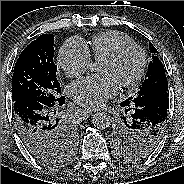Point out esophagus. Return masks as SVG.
<instances>
[{"instance_id": "obj_1", "label": "esophagus", "mask_w": 184, "mask_h": 184, "mask_svg": "<svg viewBox=\"0 0 184 184\" xmlns=\"http://www.w3.org/2000/svg\"><path fill=\"white\" fill-rule=\"evenodd\" d=\"M100 110H84L85 113L90 114L92 112H99Z\"/></svg>"}]
</instances>
